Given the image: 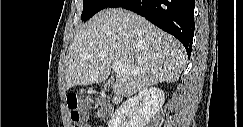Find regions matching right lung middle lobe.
<instances>
[{"instance_id": "dd1d6c3e", "label": "right lung middle lobe", "mask_w": 243, "mask_h": 127, "mask_svg": "<svg viewBox=\"0 0 243 127\" xmlns=\"http://www.w3.org/2000/svg\"><path fill=\"white\" fill-rule=\"evenodd\" d=\"M116 0H83L82 21H87L100 10L110 7Z\"/></svg>"}]
</instances>
